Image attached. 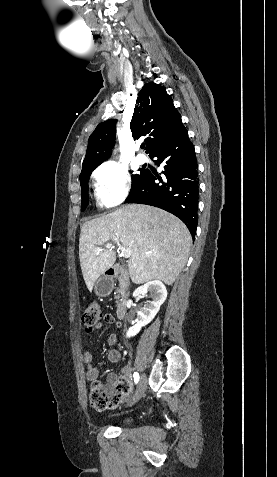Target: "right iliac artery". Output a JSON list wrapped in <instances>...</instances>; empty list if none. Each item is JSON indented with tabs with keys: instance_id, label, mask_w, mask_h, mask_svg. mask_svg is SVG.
<instances>
[{
	"instance_id": "1",
	"label": "right iliac artery",
	"mask_w": 277,
	"mask_h": 477,
	"mask_svg": "<svg viewBox=\"0 0 277 477\" xmlns=\"http://www.w3.org/2000/svg\"><path fill=\"white\" fill-rule=\"evenodd\" d=\"M135 383H138L139 381V374L137 372L134 373L133 375Z\"/></svg>"
}]
</instances>
